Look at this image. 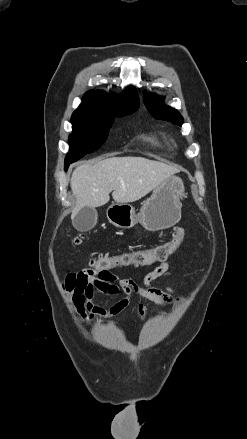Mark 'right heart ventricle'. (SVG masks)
Wrapping results in <instances>:
<instances>
[{
    "label": "right heart ventricle",
    "mask_w": 247,
    "mask_h": 439,
    "mask_svg": "<svg viewBox=\"0 0 247 439\" xmlns=\"http://www.w3.org/2000/svg\"><path fill=\"white\" fill-rule=\"evenodd\" d=\"M142 138L153 146H162L164 144V141L161 138L150 133H144Z\"/></svg>",
    "instance_id": "obj_1"
}]
</instances>
